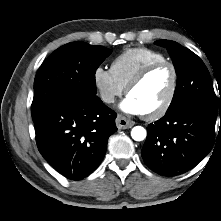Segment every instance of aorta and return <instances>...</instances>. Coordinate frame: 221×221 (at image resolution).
<instances>
[{"label": "aorta", "instance_id": "aorta-1", "mask_svg": "<svg viewBox=\"0 0 221 221\" xmlns=\"http://www.w3.org/2000/svg\"><path fill=\"white\" fill-rule=\"evenodd\" d=\"M147 132L142 126H135L131 131V137L135 141H143L146 138Z\"/></svg>", "mask_w": 221, "mask_h": 221}]
</instances>
